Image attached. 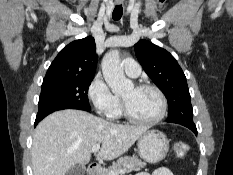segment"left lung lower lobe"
<instances>
[{"label": "left lung lower lobe", "mask_w": 233, "mask_h": 175, "mask_svg": "<svg viewBox=\"0 0 233 175\" xmlns=\"http://www.w3.org/2000/svg\"><path fill=\"white\" fill-rule=\"evenodd\" d=\"M177 124H181L187 128H189L190 130H192L194 132L195 135H197V129L194 123H177Z\"/></svg>", "instance_id": "obj_1"}]
</instances>
